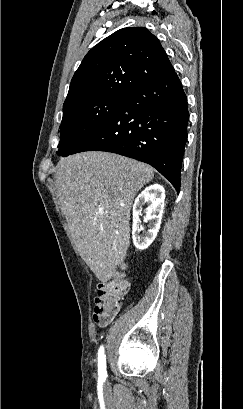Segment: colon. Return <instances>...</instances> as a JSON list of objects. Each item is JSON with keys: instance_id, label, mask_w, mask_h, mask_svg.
Instances as JSON below:
<instances>
[{"instance_id": "colon-1", "label": "colon", "mask_w": 243, "mask_h": 409, "mask_svg": "<svg viewBox=\"0 0 243 409\" xmlns=\"http://www.w3.org/2000/svg\"><path fill=\"white\" fill-rule=\"evenodd\" d=\"M128 289L129 284L124 278L122 267L111 280L97 285L94 320L98 324L105 325L113 319Z\"/></svg>"}]
</instances>
